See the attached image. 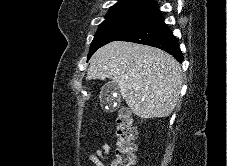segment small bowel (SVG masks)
<instances>
[{"label": "small bowel", "instance_id": "c3829d8e", "mask_svg": "<svg viewBox=\"0 0 227 166\" xmlns=\"http://www.w3.org/2000/svg\"><path fill=\"white\" fill-rule=\"evenodd\" d=\"M110 154V147L107 144L99 147L94 153H91L88 157L89 161L94 166H106L104 161H106Z\"/></svg>", "mask_w": 227, "mask_h": 166}]
</instances>
